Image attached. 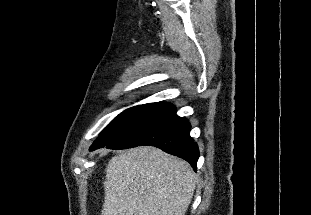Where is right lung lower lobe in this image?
Here are the masks:
<instances>
[{
	"label": "right lung lower lobe",
	"mask_w": 311,
	"mask_h": 215,
	"mask_svg": "<svg viewBox=\"0 0 311 215\" xmlns=\"http://www.w3.org/2000/svg\"><path fill=\"white\" fill-rule=\"evenodd\" d=\"M190 127L186 118L176 114L173 105L159 103L125 136L106 147L126 149L142 145L155 146L186 160L196 170L199 149L189 135Z\"/></svg>",
	"instance_id": "obj_1"
}]
</instances>
